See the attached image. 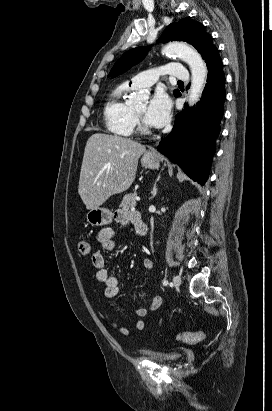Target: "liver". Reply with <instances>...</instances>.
Segmentation results:
<instances>
[{
  "label": "liver",
  "mask_w": 272,
  "mask_h": 411,
  "mask_svg": "<svg viewBox=\"0 0 272 411\" xmlns=\"http://www.w3.org/2000/svg\"><path fill=\"white\" fill-rule=\"evenodd\" d=\"M146 147L131 139L95 133L84 151L78 193L88 210L98 208L110 196L133 183L138 159Z\"/></svg>",
  "instance_id": "obj_1"
}]
</instances>
